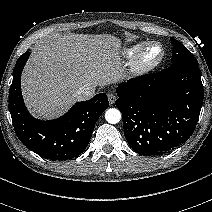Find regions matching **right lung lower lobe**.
Masks as SVG:
<instances>
[{"instance_id":"1","label":"right lung lower lobe","mask_w":212,"mask_h":212,"mask_svg":"<svg viewBox=\"0 0 212 212\" xmlns=\"http://www.w3.org/2000/svg\"><path fill=\"white\" fill-rule=\"evenodd\" d=\"M30 52L21 55L15 65L9 90V110L19 140L31 151L51 160H67L87 147L101 114L108 108L105 93L76 103L64 116L52 121L33 118L21 94V73Z\"/></svg>"}]
</instances>
